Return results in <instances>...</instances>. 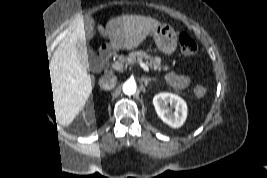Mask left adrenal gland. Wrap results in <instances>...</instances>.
Returning <instances> with one entry per match:
<instances>
[{"instance_id":"obj_1","label":"left adrenal gland","mask_w":267,"mask_h":178,"mask_svg":"<svg viewBox=\"0 0 267 178\" xmlns=\"http://www.w3.org/2000/svg\"><path fill=\"white\" fill-rule=\"evenodd\" d=\"M143 80H144L145 85L147 86L149 81L155 80V78H144Z\"/></svg>"}]
</instances>
